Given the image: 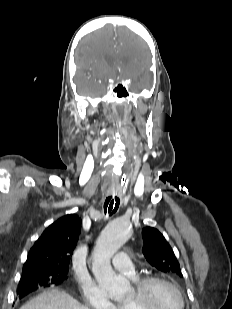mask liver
Here are the masks:
<instances>
[{
    "label": "liver",
    "instance_id": "obj_1",
    "mask_svg": "<svg viewBox=\"0 0 232 309\" xmlns=\"http://www.w3.org/2000/svg\"><path fill=\"white\" fill-rule=\"evenodd\" d=\"M20 309H89L65 291L50 290L37 295Z\"/></svg>",
    "mask_w": 232,
    "mask_h": 309
}]
</instances>
